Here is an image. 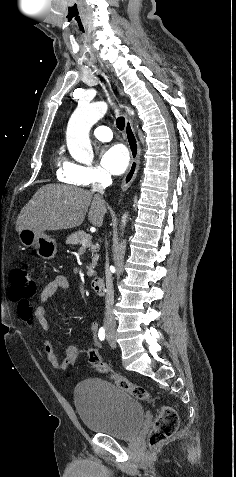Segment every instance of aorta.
I'll list each match as a JSON object with an SVG mask.
<instances>
[{
    "mask_svg": "<svg viewBox=\"0 0 236 477\" xmlns=\"http://www.w3.org/2000/svg\"><path fill=\"white\" fill-rule=\"evenodd\" d=\"M105 102L80 104L72 114L66 133L67 145L70 153L82 162L93 159V150L89 139V131L93 124L101 119L107 112ZM131 114L132 111L129 110ZM126 216L123 217L125 223Z\"/></svg>",
    "mask_w": 236,
    "mask_h": 477,
    "instance_id": "aorta-1",
    "label": "aorta"
}]
</instances>
